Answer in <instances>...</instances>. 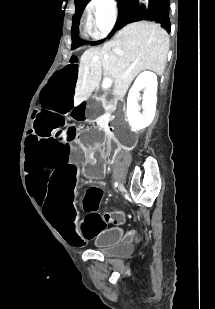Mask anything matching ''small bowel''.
Segmentation results:
<instances>
[{
	"instance_id": "obj_1",
	"label": "small bowel",
	"mask_w": 215,
	"mask_h": 309,
	"mask_svg": "<svg viewBox=\"0 0 215 309\" xmlns=\"http://www.w3.org/2000/svg\"><path fill=\"white\" fill-rule=\"evenodd\" d=\"M99 193H100V197L98 199L100 200L101 197H102V192L100 191ZM127 238H129V237H127Z\"/></svg>"
}]
</instances>
